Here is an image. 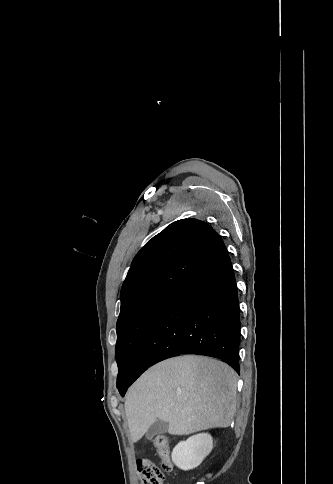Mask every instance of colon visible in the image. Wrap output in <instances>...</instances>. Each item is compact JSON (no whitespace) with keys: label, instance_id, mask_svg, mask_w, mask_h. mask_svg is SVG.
Returning a JSON list of instances; mask_svg holds the SVG:
<instances>
[{"label":"colon","instance_id":"colon-1","mask_svg":"<svg viewBox=\"0 0 333 484\" xmlns=\"http://www.w3.org/2000/svg\"><path fill=\"white\" fill-rule=\"evenodd\" d=\"M152 444L162 459L160 466L148 459L140 460L139 471L142 484H164L165 476L173 471L168 439L164 435L152 438Z\"/></svg>","mask_w":333,"mask_h":484}]
</instances>
